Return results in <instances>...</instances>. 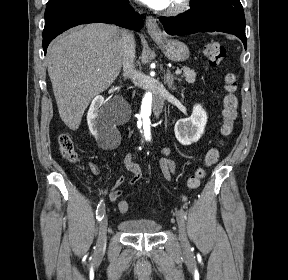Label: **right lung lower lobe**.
Instances as JSON below:
<instances>
[{
	"mask_svg": "<svg viewBox=\"0 0 288 280\" xmlns=\"http://www.w3.org/2000/svg\"><path fill=\"white\" fill-rule=\"evenodd\" d=\"M129 0H49L45 11L43 50L60 33L79 24L102 22L139 30L142 18Z\"/></svg>",
	"mask_w": 288,
	"mask_h": 280,
	"instance_id": "98d812e1",
	"label": "right lung lower lobe"
}]
</instances>
